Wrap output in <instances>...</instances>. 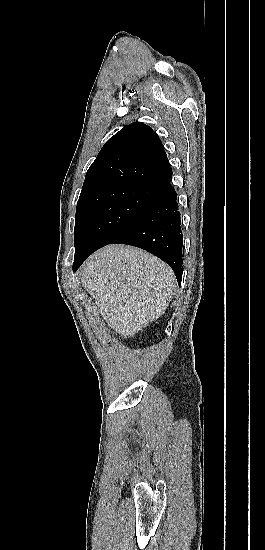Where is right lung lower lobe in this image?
Segmentation results:
<instances>
[{"label":"right lung lower lobe","mask_w":265,"mask_h":550,"mask_svg":"<svg viewBox=\"0 0 265 550\" xmlns=\"http://www.w3.org/2000/svg\"><path fill=\"white\" fill-rule=\"evenodd\" d=\"M171 178L172 174L161 183L154 199L139 218L111 243L136 246L161 258L171 266L178 284L181 285L183 236L177 194L170 185ZM90 254L74 263L73 271Z\"/></svg>","instance_id":"98d812e1"}]
</instances>
